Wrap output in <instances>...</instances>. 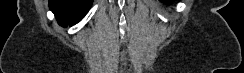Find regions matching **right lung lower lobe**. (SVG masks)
I'll return each mask as SVG.
<instances>
[{
  "instance_id": "1",
  "label": "right lung lower lobe",
  "mask_w": 244,
  "mask_h": 73,
  "mask_svg": "<svg viewBox=\"0 0 244 73\" xmlns=\"http://www.w3.org/2000/svg\"><path fill=\"white\" fill-rule=\"evenodd\" d=\"M92 2L93 0H49V6L58 23L67 27L79 22L90 9Z\"/></svg>"
}]
</instances>
